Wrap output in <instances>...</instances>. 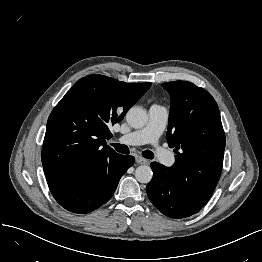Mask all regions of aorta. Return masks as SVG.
<instances>
[{
	"mask_svg": "<svg viewBox=\"0 0 262 262\" xmlns=\"http://www.w3.org/2000/svg\"><path fill=\"white\" fill-rule=\"evenodd\" d=\"M127 123L135 129L144 127L148 121L147 112L138 107H132L126 114ZM153 172L150 166L141 165L135 170V178L140 183H149L152 179Z\"/></svg>",
	"mask_w": 262,
	"mask_h": 262,
	"instance_id": "obj_1",
	"label": "aorta"
}]
</instances>
